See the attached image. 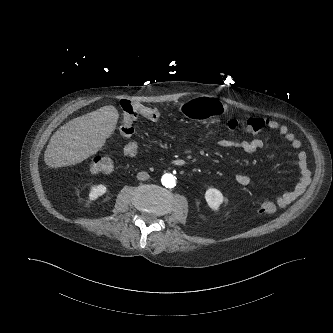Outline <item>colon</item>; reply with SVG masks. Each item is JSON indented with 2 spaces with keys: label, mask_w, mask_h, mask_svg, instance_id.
<instances>
[{
  "label": "colon",
  "mask_w": 333,
  "mask_h": 333,
  "mask_svg": "<svg viewBox=\"0 0 333 333\" xmlns=\"http://www.w3.org/2000/svg\"><path fill=\"white\" fill-rule=\"evenodd\" d=\"M123 119L120 124V133L129 137L134 133L135 122L140 117L143 116L146 119L158 122L163 119L162 113L156 109L144 106L139 103H132L130 101L122 102ZM268 120L263 118L252 117L244 121L237 119H230L227 123L228 128L231 130H242L247 133H259L266 126H268ZM89 171L92 173H109L113 169V161L107 156H95L89 163ZM277 210V205L270 200L263 201L259 206V212L265 215L274 214Z\"/></svg>",
  "instance_id": "5ec220e1"
}]
</instances>
